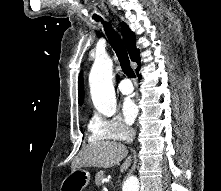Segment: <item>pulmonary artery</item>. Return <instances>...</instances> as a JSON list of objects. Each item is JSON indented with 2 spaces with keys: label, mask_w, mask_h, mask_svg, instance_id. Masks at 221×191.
<instances>
[{
  "label": "pulmonary artery",
  "mask_w": 221,
  "mask_h": 191,
  "mask_svg": "<svg viewBox=\"0 0 221 191\" xmlns=\"http://www.w3.org/2000/svg\"><path fill=\"white\" fill-rule=\"evenodd\" d=\"M118 88L122 94L129 95L133 92V85L129 79H123L119 82Z\"/></svg>",
  "instance_id": "obj_1"
}]
</instances>
